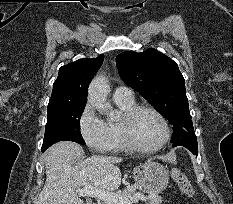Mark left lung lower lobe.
<instances>
[{
  "instance_id": "0a47b994",
  "label": "left lung lower lobe",
  "mask_w": 233,
  "mask_h": 204,
  "mask_svg": "<svg viewBox=\"0 0 233 204\" xmlns=\"http://www.w3.org/2000/svg\"><path fill=\"white\" fill-rule=\"evenodd\" d=\"M173 146H184L189 149L194 155L198 153V145L196 137H189L184 140V142L174 143Z\"/></svg>"
}]
</instances>
